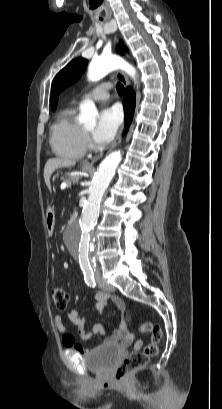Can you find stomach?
I'll list each match as a JSON object with an SVG mask.
<instances>
[{
    "label": "stomach",
    "instance_id": "obj_1",
    "mask_svg": "<svg viewBox=\"0 0 222 409\" xmlns=\"http://www.w3.org/2000/svg\"><path fill=\"white\" fill-rule=\"evenodd\" d=\"M83 171H89V167L82 166ZM55 226V213L53 208L49 207L46 213V228L49 233H52Z\"/></svg>",
    "mask_w": 222,
    "mask_h": 409
}]
</instances>
